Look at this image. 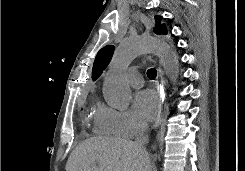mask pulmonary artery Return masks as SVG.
<instances>
[{"instance_id":"e3ab8cb5","label":"pulmonary artery","mask_w":245,"mask_h":171,"mask_svg":"<svg viewBox=\"0 0 245 171\" xmlns=\"http://www.w3.org/2000/svg\"><path fill=\"white\" fill-rule=\"evenodd\" d=\"M126 79L133 87H141L143 84L142 76L137 69H129L126 72Z\"/></svg>"}]
</instances>
